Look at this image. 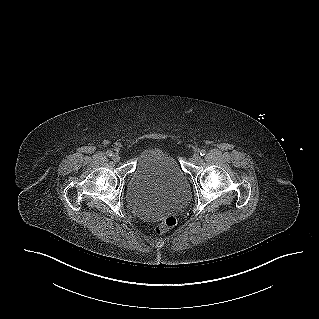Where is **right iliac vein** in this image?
Listing matches in <instances>:
<instances>
[{
    "instance_id": "1",
    "label": "right iliac vein",
    "mask_w": 319,
    "mask_h": 319,
    "mask_svg": "<svg viewBox=\"0 0 319 319\" xmlns=\"http://www.w3.org/2000/svg\"><path fill=\"white\" fill-rule=\"evenodd\" d=\"M120 159H121V157H120L118 154H113V155H112V160H113L114 162H119Z\"/></svg>"
}]
</instances>
